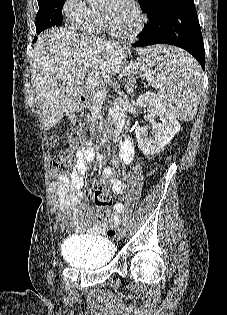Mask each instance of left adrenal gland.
Instances as JSON below:
<instances>
[{
	"label": "left adrenal gland",
	"mask_w": 227,
	"mask_h": 315,
	"mask_svg": "<svg viewBox=\"0 0 227 315\" xmlns=\"http://www.w3.org/2000/svg\"><path fill=\"white\" fill-rule=\"evenodd\" d=\"M136 77H131L129 78V81L127 82V84L125 85V88L127 90V92L130 94L131 92H133L134 89V84L136 83Z\"/></svg>",
	"instance_id": "obj_1"
}]
</instances>
